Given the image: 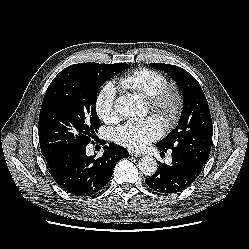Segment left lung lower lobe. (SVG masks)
<instances>
[{
    "instance_id": "left-lung-lower-lobe-1",
    "label": "left lung lower lobe",
    "mask_w": 249,
    "mask_h": 249,
    "mask_svg": "<svg viewBox=\"0 0 249 249\" xmlns=\"http://www.w3.org/2000/svg\"><path fill=\"white\" fill-rule=\"evenodd\" d=\"M162 153L167 152L159 148ZM172 164L158 162L159 167L155 174L147 178V185L162 194L181 192L189 187L200 174V166L191 157L172 151Z\"/></svg>"
}]
</instances>
